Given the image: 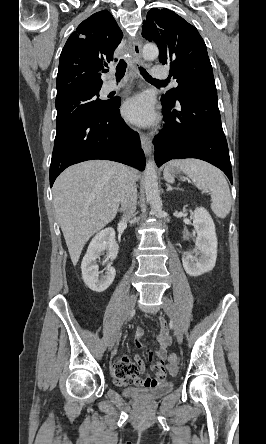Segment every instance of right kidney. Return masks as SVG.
<instances>
[{
  "label": "right kidney",
  "instance_id": "right-kidney-1",
  "mask_svg": "<svg viewBox=\"0 0 266 444\" xmlns=\"http://www.w3.org/2000/svg\"><path fill=\"white\" fill-rule=\"evenodd\" d=\"M118 249L113 228L100 231L92 239L81 263L82 278L89 289L95 292H103L112 284L116 275L115 269L109 265L105 275L99 278V266L96 260L100 258L105 250L107 251V259H115Z\"/></svg>",
  "mask_w": 266,
  "mask_h": 444
}]
</instances>
